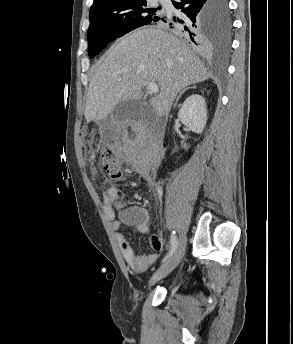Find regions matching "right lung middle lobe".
<instances>
[{"label":"right lung middle lobe","mask_w":293,"mask_h":344,"mask_svg":"<svg viewBox=\"0 0 293 344\" xmlns=\"http://www.w3.org/2000/svg\"><path fill=\"white\" fill-rule=\"evenodd\" d=\"M147 0H118L90 10L88 29V54L93 58L111 41L126 33L159 20L160 9H146ZM213 21L218 28L224 45H227L230 15L227 0H216Z\"/></svg>","instance_id":"1"}]
</instances>
